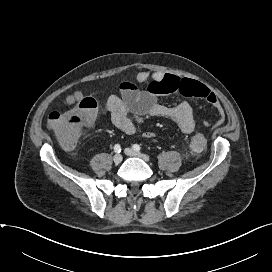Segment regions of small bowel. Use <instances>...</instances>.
Masks as SVG:
<instances>
[{
  "label": "small bowel",
  "instance_id": "1",
  "mask_svg": "<svg viewBox=\"0 0 272 272\" xmlns=\"http://www.w3.org/2000/svg\"><path fill=\"white\" fill-rule=\"evenodd\" d=\"M138 84H146L145 90H140ZM121 96L108 97L103 115H109L112 123L125 134L131 135L136 131V124L150 117L170 119L184 134L194 131L195 121L191 106L182 102L175 106H166L158 101V95L180 93L186 97H198L206 100L218 113L221 125L225 120V112L216 95L204 84L179 76L151 71L137 73L132 81L120 84ZM98 117L95 111L90 123ZM208 125V123H207ZM145 138H153L152 132H146Z\"/></svg>",
  "mask_w": 272,
  "mask_h": 272
}]
</instances>
